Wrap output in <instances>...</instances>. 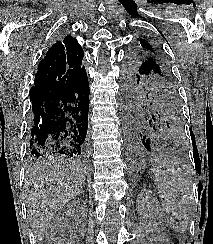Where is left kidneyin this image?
<instances>
[{
    "mask_svg": "<svg viewBox=\"0 0 213 244\" xmlns=\"http://www.w3.org/2000/svg\"><path fill=\"white\" fill-rule=\"evenodd\" d=\"M155 200L152 198L149 192L143 191L141 192L138 200L139 205V215L140 219L143 222V226L147 227L148 229H155L159 233L163 231V228L160 226L159 223L153 222L152 218L154 217L153 209L151 208L152 203ZM158 220V218H156Z\"/></svg>",
    "mask_w": 213,
    "mask_h": 244,
    "instance_id": "obj_1",
    "label": "left kidney"
}]
</instances>
